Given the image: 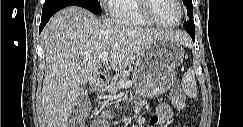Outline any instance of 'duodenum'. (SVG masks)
I'll list each match as a JSON object with an SVG mask.
<instances>
[{"label":"duodenum","mask_w":243,"mask_h":127,"mask_svg":"<svg viewBox=\"0 0 243 127\" xmlns=\"http://www.w3.org/2000/svg\"><path fill=\"white\" fill-rule=\"evenodd\" d=\"M108 82V76L104 73H99L94 79L93 87L95 90L103 89L108 85ZM96 122L99 126H106V121L103 118L98 119Z\"/></svg>","instance_id":"duodenum-1"}]
</instances>
